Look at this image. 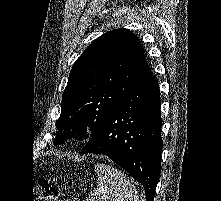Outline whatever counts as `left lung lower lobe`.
Masks as SVG:
<instances>
[{"label": "left lung lower lobe", "instance_id": "left-lung-lower-lobe-1", "mask_svg": "<svg viewBox=\"0 0 221 201\" xmlns=\"http://www.w3.org/2000/svg\"><path fill=\"white\" fill-rule=\"evenodd\" d=\"M159 85L149 77L110 111L80 154H104L140 182L154 201L162 138Z\"/></svg>", "mask_w": 221, "mask_h": 201}]
</instances>
